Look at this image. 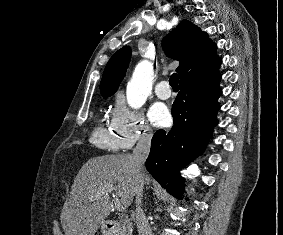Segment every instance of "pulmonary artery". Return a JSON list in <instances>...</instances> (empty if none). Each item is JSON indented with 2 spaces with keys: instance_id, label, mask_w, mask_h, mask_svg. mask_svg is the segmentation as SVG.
<instances>
[{
  "instance_id": "e3ab8cb5",
  "label": "pulmonary artery",
  "mask_w": 283,
  "mask_h": 235,
  "mask_svg": "<svg viewBox=\"0 0 283 235\" xmlns=\"http://www.w3.org/2000/svg\"><path fill=\"white\" fill-rule=\"evenodd\" d=\"M155 94L159 99L166 100L172 95L169 83L165 80L160 81L155 87Z\"/></svg>"
}]
</instances>
